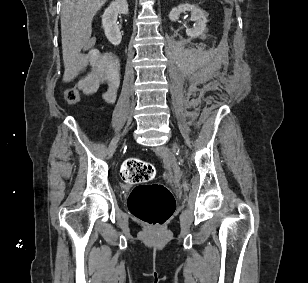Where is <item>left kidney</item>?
Listing matches in <instances>:
<instances>
[{
  "mask_svg": "<svg viewBox=\"0 0 308 283\" xmlns=\"http://www.w3.org/2000/svg\"><path fill=\"white\" fill-rule=\"evenodd\" d=\"M186 11L191 13V21L194 22L193 28L186 27V34L189 37H198L202 35L206 30L207 19L204 12L195 5L183 3L178 7H174L169 13V19L175 22L179 19L180 14Z\"/></svg>",
  "mask_w": 308,
  "mask_h": 283,
  "instance_id": "5707ae66",
  "label": "left kidney"
}]
</instances>
